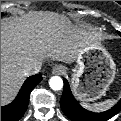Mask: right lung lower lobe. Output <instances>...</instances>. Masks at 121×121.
Listing matches in <instances>:
<instances>
[{
	"instance_id": "right-lung-lower-lobe-1",
	"label": "right lung lower lobe",
	"mask_w": 121,
	"mask_h": 121,
	"mask_svg": "<svg viewBox=\"0 0 121 121\" xmlns=\"http://www.w3.org/2000/svg\"><path fill=\"white\" fill-rule=\"evenodd\" d=\"M40 74L29 77L23 84L16 99L1 107V121H18L25 113L32 89L41 81Z\"/></svg>"
}]
</instances>
